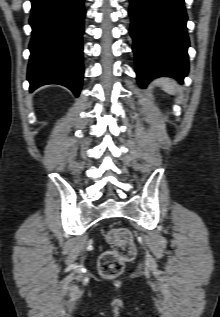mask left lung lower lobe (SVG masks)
Instances as JSON below:
<instances>
[{
	"mask_svg": "<svg viewBox=\"0 0 220 317\" xmlns=\"http://www.w3.org/2000/svg\"><path fill=\"white\" fill-rule=\"evenodd\" d=\"M129 15L139 85L159 76L183 82L189 69L184 0H130Z\"/></svg>",
	"mask_w": 220,
	"mask_h": 317,
	"instance_id": "left-lung-lower-lobe-1",
	"label": "left lung lower lobe"
}]
</instances>
